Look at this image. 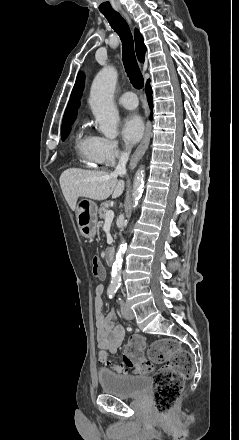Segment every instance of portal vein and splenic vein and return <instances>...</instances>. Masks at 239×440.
<instances>
[{"label": "portal vein and splenic vein", "instance_id": "obj_1", "mask_svg": "<svg viewBox=\"0 0 239 440\" xmlns=\"http://www.w3.org/2000/svg\"><path fill=\"white\" fill-rule=\"evenodd\" d=\"M113 218L114 212H112V210H108V212H106L105 222H113Z\"/></svg>", "mask_w": 239, "mask_h": 440}]
</instances>
